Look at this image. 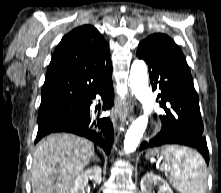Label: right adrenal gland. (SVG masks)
Returning <instances> with one entry per match:
<instances>
[{"label":"right adrenal gland","instance_id":"obj_1","mask_svg":"<svg viewBox=\"0 0 221 193\" xmlns=\"http://www.w3.org/2000/svg\"><path fill=\"white\" fill-rule=\"evenodd\" d=\"M93 159L99 162V158L97 156H93Z\"/></svg>","mask_w":221,"mask_h":193}]
</instances>
